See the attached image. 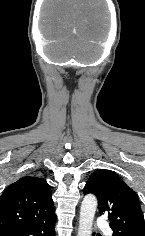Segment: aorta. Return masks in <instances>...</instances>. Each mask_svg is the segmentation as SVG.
<instances>
[{"label": "aorta", "mask_w": 145, "mask_h": 236, "mask_svg": "<svg viewBox=\"0 0 145 236\" xmlns=\"http://www.w3.org/2000/svg\"><path fill=\"white\" fill-rule=\"evenodd\" d=\"M97 209V199L94 195H86L80 209L78 236H91L92 225Z\"/></svg>", "instance_id": "aorta-1"}]
</instances>
